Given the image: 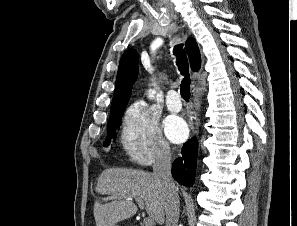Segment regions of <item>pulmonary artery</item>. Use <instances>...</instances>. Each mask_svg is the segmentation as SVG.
Returning <instances> with one entry per match:
<instances>
[{
    "label": "pulmonary artery",
    "mask_w": 297,
    "mask_h": 226,
    "mask_svg": "<svg viewBox=\"0 0 297 226\" xmlns=\"http://www.w3.org/2000/svg\"><path fill=\"white\" fill-rule=\"evenodd\" d=\"M167 108L172 112L180 111L182 103L179 94L175 90H170L166 95Z\"/></svg>",
    "instance_id": "e3ab8cb5"
}]
</instances>
